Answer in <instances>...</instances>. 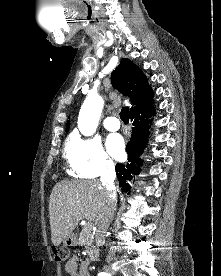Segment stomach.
<instances>
[{"instance_id": "obj_1", "label": "stomach", "mask_w": 221, "mask_h": 276, "mask_svg": "<svg viewBox=\"0 0 221 276\" xmlns=\"http://www.w3.org/2000/svg\"><path fill=\"white\" fill-rule=\"evenodd\" d=\"M63 244L66 246H75L77 244V235L71 233L66 239L63 240Z\"/></svg>"}]
</instances>
